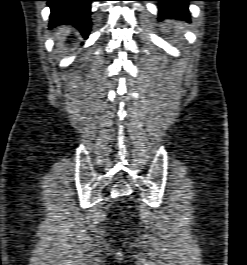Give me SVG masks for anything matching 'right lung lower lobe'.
Instances as JSON below:
<instances>
[{"label": "right lung lower lobe", "instance_id": "98d812e1", "mask_svg": "<svg viewBox=\"0 0 247 265\" xmlns=\"http://www.w3.org/2000/svg\"><path fill=\"white\" fill-rule=\"evenodd\" d=\"M51 8L50 27L72 24L87 37L91 27V1L94 0H44Z\"/></svg>", "mask_w": 247, "mask_h": 265}]
</instances>
